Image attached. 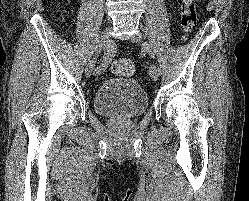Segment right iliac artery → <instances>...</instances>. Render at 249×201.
I'll use <instances>...</instances> for the list:
<instances>
[{
	"mask_svg": "<svg viewBox=\"0 0 249 201\" xmlns=\"http://www.w3.org/2000/svg\"><path fill=\"white\" fill-rule=\"evenodd\" d=\"M111 55H112V50L109 47H106L104 50V56H103L104 59L102 64L94 70L95 75H100L106 70L111 61Z\"/></svg>",
	"mask_w": 249,
	"mask_h": 201,
	"instance_id": "right-iliac-artery-1",
	"label": "right iliac artery"
}]
</instances>
